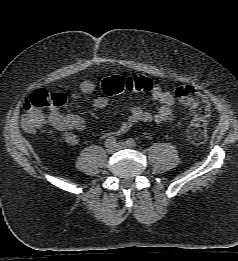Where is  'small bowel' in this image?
Returning a JSON list of instances; mask_svg holds the SVG:
<instances>
[{"label":"small bowel","instance_id":"obj_1","mask_svg":"<svg viewBox=\"0 0 238 261\" xmlns=\"http://www.w3.org/2000/svg\"><path fill=\"white\" fill-rule=\"evenodd\" d=\"M99 91V86L91 81L84 80L79 86V92L71 94L72 99H78L80 94L91 95ZM151 100L158 103L159 107L155 112L138 106L129 107L128 116L121 122L116 134L120 135L127 132L137 123H156L161 124L170 121L174 117L173 105L175 102L174 95L165 91L158 84H152L149 91ZM108 97L99 92V95L92 101L93 107L103 109L108 106ZM49 124L62 134L64 141L69 145H75L78 142L75 132H83L86 128V122L83 117L76 114H63L53 109L48 116Z\"/></svg>","mask_w":238,"mask_h":261}]
</instances>
